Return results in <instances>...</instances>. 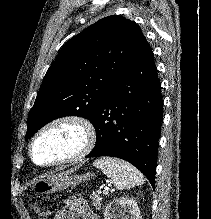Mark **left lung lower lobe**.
<instances>
[{
  "mask_svg": "<svg viewBox=\"0 0 211 219\" xmlns=\"http://www.w3.org/2000/svg\"><path fill=\"white\" fill-rule=\"evenodd\" d=\"M162 114L161 85L152 49L146 43L101 100L91 121L97 143L86 157L124 159L155 188Z\"/></svg>",
  "mask_w": 211,
  "mask_h": 219,
  "instance_id": "obj_1",
  "label": "left lung lower lobe"
}]
</instances>
